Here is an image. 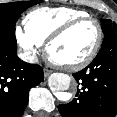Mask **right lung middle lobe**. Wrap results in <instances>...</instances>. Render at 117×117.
I'll return each instance as SVG.
<instances>
[{
	"label": "right lung middle lobe",
	"mask_w": 117,
	"mask_h": 117,
	"mask_svg": "<svg viewBox=\"0 0 117 117\" xmlns=\"http://www.w3.org/2000/svg\"><path fill=\"white\" fill-rule=\"evenodd\" d=\"M37 3L38 1H19L0 4V27L15 30L20 14Z\"/></svg>",
	"instance_id": "dd1d6c3e"
}]
</instances>
